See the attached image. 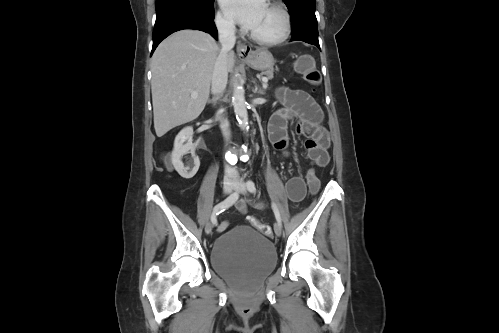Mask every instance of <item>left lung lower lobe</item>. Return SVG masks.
Masks as SVG:
<instances>
[{
    "instance_id": "0a47b994",
    "label": "left lung lower lobe",
    "mask_w": 499,
    "mask_h": 333,
    "mask_svg": "<svg viewBox=\"0 0 499 333\" xmlns=\"http://www.w3.org/2000/svg\"><path fill=\"white\" fill-rule=\"evenodd\" d=\"M292 17V38L291 41H304L317 46L320 49L318 41V26L315 12L300 11Z\"/></svg>"
}]
</instances>
